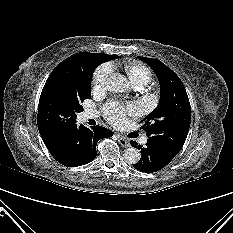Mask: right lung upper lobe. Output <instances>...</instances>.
I'll return each mask as SVG.
<instances>
[{"instance_id": "1", "label": "right lung upper lobe", "mask_w": 233, "mask_h": 233, "mask_svg": "<svg viewBox=\"0 0 233 233\" xmlns=\"http://www.w3.org/2000/svg\"><path fill=\"white\" fill-rule=\"evenodd\" d=\"M82 53L74 54L62 61L59 65L55 67L51 75H72L80 66ZM104 55L108 59V61L116 59L118 57L117 55ZM72 127L73 126L57 134L41 135V137L46 145H50L61 141L66 135L69 134Z\"/></svg>"}]
</instances>
